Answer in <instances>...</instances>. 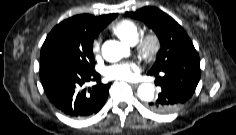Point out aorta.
I'll return each mask as SVG.
<instances>
[{
  "label": "aorta",
  "mask_w": 236,
  "mask_h": 135,
  "mask_svg": "<svg viewBox=\"0 0 236 135\" xmlns=\"http://www.w3.org/2000/svg\"><path fill=\"white\" fill-rule=\"evenodd\" d=\"M129 54V47L115 40L106 41L102 46V55L108 62H116ZM155 88L150 83H143L138 87L137 94L142 101L154 98Z\"/></svg>",
  "instance_id": "1"
}]
</instances>
